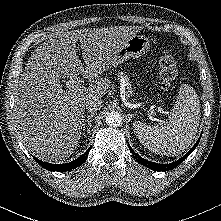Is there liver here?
Returning <instances> with one entry per match:
<instances>
[{
	"mask_svg": "<svg viewBox=\"0 0 221 221\" xmlns=\"http://www.w3.org/2000/svg\"><path fill=\"white\" fill-rule=\"evenodd\" d=\"M140 30L125 26L72 30L34 50L15 91L13 118L28 151L45 161L62 160L74 152L85 120V103L101 98L109 88V80L99 75ZM78 40L85 67L76 53ZM80 74L93 80L88 88L65 91L60 79L72 80Z\"/></svg>",
	"mask_w": 221,
	"mask_h": 221,
	"instance_id": "1",
	"label": "liver"
}]
</instances>
